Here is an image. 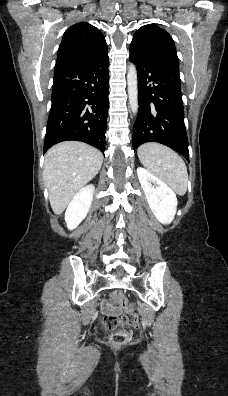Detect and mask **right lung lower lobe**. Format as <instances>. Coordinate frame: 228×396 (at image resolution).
<instances>
[{
    "label": "right lung lower lobe",
    "instance_id": "98d812e1",
    "mask_svg": "<svg viewBox=\"0 0 228 396\" xmlns=\"http://www.w3.org/2000/svg\"><path fill=\"white\" fill-rule=\"evenodd\" d=\"M108 66V51H105L87 63L54 72L44 153L54 144L67 140L88 143L104 153Z\"/></svg>",
    "mask_w": 228,
    "mask_h": 396
}]
</instances>
